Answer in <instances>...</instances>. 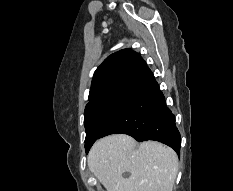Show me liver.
<instances>
[{"mask_svg": "<svg viewBox=\"0 0 233 191\" xmlns=\"http://www.w3.org/2000/svg\"><path fill=\"white\" fill-rule=\"evenodd\" d=\"M87 164L107 191H173L178 172L172 148L156 141L136 147V141L125 134L96 141ZM124 172L130 176L123 177Z\"/></svg>", "mask_w": 233, "mask_h": 191, "instance_id": "liver-1", "label": "liver"}]
</instances>
